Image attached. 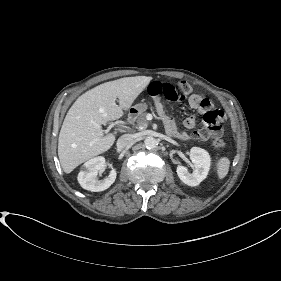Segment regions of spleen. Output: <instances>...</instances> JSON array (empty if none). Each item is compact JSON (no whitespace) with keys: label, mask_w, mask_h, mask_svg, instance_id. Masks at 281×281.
<instances>
[{"label":"spleen","mask_w":281,"mask_h":281,"mask_svg":"<svg viewBox=\"0 0 281 281\" xmlns=\"http://www.w3.org/2000/svg\"><path fill=\"white\" fill-rule=\"evenodd\" d=\"M230 160L227 157H221L216 165L218 178L221 180L228 174Z\"/></svg>","instance_id":"1"}]
</instances>
